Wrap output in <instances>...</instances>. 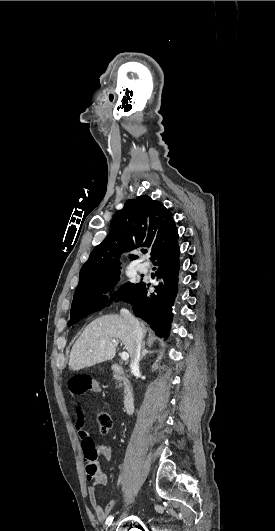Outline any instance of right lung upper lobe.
I'll return each instance as SVG.
<instances>
[{
    "instance_id": "cb5924a9",
    "label": "right lung upper lobe",
    "mask_w": 275,
    "mask_h": 531,
    "mask_svg": "<svg viewBox=\"0 0 275 531\" xmlns=\"http://www.w3.org/2000/svg\"><path fill=\"white\" fill-rule=\"evenodd\" d=\"M175 228L171 212L162 203L148 196L127 200L123 209L114 215L107 237L82 266L77 288L95 277L119 270L124 252L146 246L152 255Z\"/></svg>"
}]
</instances>
